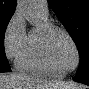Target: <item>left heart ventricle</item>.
Instances as JSON below:
<instances>
[{"label":"left heart ventricle","instance_id":"obj_1","mask_svg":"<svg viewBox=\"0 0 89 89\" xmlns=\"http://www.w3.org/2000/svg\"><path fill=\"white\" fill-rule=\"evenodd\" d=\"M52 52L60 70L72 69L76 64V53L70 41L62 33H57L52 40Z\"/></svg>","mask_w":89,"mask_h":89}]
</instances>
